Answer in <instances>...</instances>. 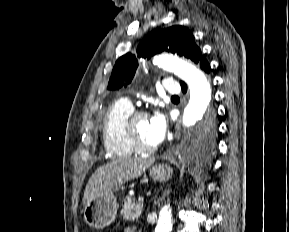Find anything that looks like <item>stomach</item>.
I'll list each match as a JSON object with an SVG mask.
<instances>
[{
	"label": "stomach",
	"mask_w": 289,
	"mask_h": 232,
	"mask_svg": "<svg viewBox=\"0 0 289 232\" xmlns=\"http://www.w3.org/2000/svg\"><path fill=\"white\" fill-rule=\"evenodd\" d=\"M150 176L154 181L165 182L172 177L173 170L164 164L150 168ZM118 203L113 192L94 198L83 210L84 221L89 227L103 229L109 226L116 217Z\"/></svg>",
	"instance_id": "obj_1"
}]
</instances>
